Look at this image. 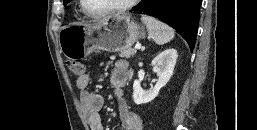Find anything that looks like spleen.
Here are the masks:
<instances>
[{
  "mask_svg": "<svg viewBox=\"0 0 257 130\" xmlns=\"http://www.w3.org/2000/svg\"><path fill=\"white\" fill-rule=\"evenodd\" d=\"M141 20L146 25L149 36L156 44L163 45L174 38L175 32L167 24L147 15H142Z\"/></svg>",
  "mask_w": 257,
  "mask_h": 130,
  "instance_id": "spleen-1",
  "label": "spleen"
}]
</instances>
